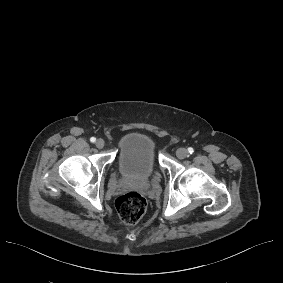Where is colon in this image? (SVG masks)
<instances>
[{"label": "colon", "instance_id": "1", "mask_svg": "<svg viewBox=\"0 0 283 283\" xmlns=\"http://www.w3.org/2000/svg\"><path fill=\"white\" fill-rule=\"evenodd\" d=\"M115 206L120 219L128 225L137 223L145 214L146 199L137 192H128L115 200Z\"/></svg>", "mask_w": 283, "mask_h": 283}]
</instances>
